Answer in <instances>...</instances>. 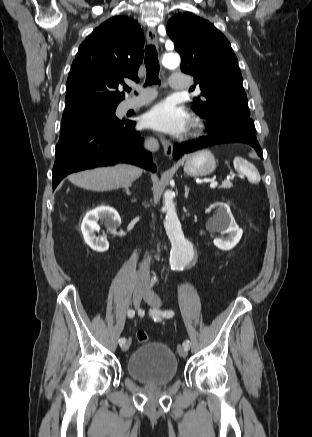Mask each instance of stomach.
<instances>
[{
  "label": "stomach",
  "instance_id": "stomach-1",
  "mask_svg": "<svg viewBox=\"0 0 312 437\" xmlns=\"http://www.w3.org/2000/svg\"><path fill=\"white\" fill-rule=\"evenodd\" d=\"M216 161L209 150H200L185 157L184 172L188 176L202 177L211 174Z\"/></svg>",
  "mask_w": 312,
  "mask_h": 437
}]
</instances>
